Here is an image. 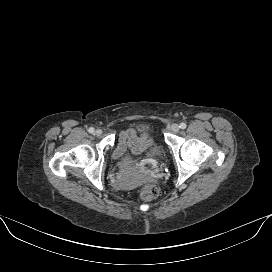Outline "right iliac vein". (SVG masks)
Listing matches in <instances>:
<instances>
[{
	"instance_id": "right-iliac-vein-1",
	"label": "right iliac vein",
	"mask_w": 272,
	"mask_h": 272,
	"mask_svg": "<svg viewBox=\"0 0 272 272\" xmlns=\"http://www.w3.org/2000/svg\"><path fill=\"white\" fill-rule=\"evenodd\" d=\"M102 133H103V131H102L101 129H97V130L95 131V134H96L97 136H101Z\"/></svg>"
}]
</instances>
